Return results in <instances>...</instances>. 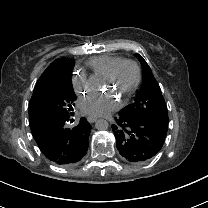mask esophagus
Instances as JSON below:
<instances>
[{
  "instance_id": "34e87169",
  "label": "esophagus",
  "mask_w": 208,
  "mask_h": 208,
  "mask_svg": "<svg viewBox=\"0 0 208 208\" xmlns=\"http://www.w3.org/2000/svg\"><path fill=\"white\" fill-rule=\"evenodd\" d=\"M87 120H88V122H90V123H94V122H96L97 121V117H95V116H88L87 117Z\"/></svg>"
}]
</instances>
